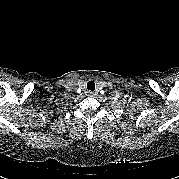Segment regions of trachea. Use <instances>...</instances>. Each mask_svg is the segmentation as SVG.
Listing matches in <instances>:
<instances>
[{"label":"trachea","instance_id":"obj_1","mask_svg":"<svg viewBox=\"0 0 179 179\" xmlns=\"http://www.w3.org/2000/svg\"><path fill=\"white\" fill-rule=\"evenodd\" d=\"M87 89H88L89 91H94V90H95V83H94V81H89V82L87 83Z\"/></svg>","mask_w":179,"mask_h":179}]
</instances>
